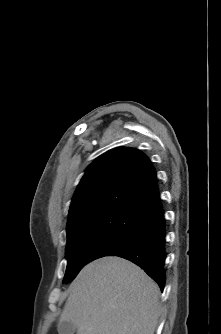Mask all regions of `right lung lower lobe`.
I'll list each match as a JSON object with an SVG mask.
<instances>
[{
  "label": "right lung lower lobe",
  "instance_id": "98d812e1",
  "mask_svg": "<svg viewBox=\"0 0 221 334\" xmlns=\"http://www.w3.org/2000/svg\"><path fill=\"white\" fill-rule=\"evenodd\" d=\"M165 219L160 199L106 256H119L140 266L163 291L165 285Z\"/></svg>",
  "mask_w": 221,
  "mask_h": 334
}]
</instances>
